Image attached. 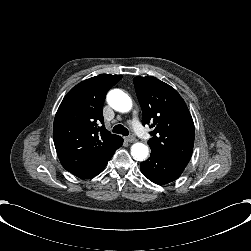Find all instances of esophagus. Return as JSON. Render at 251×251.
<instances>
[{"label":"esophagus","instance_id":"1","mask_svg":"<svg viewBox=\"0 0 251 251\" xmlns=\"http://www.w3.org/2000/svg\"><path fill=\"white\" fill-rule=\"evenodd\" d=\"M126 141H127L128 143H133V142L136 141V138L133 137V136H129V137L126 138Z\"/></svg>","mask_w":251,"mask_h":251}]
</instances>
